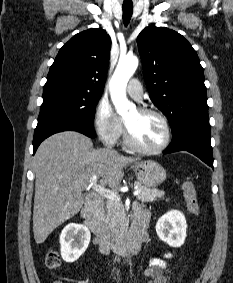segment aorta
Segmentation results:
<instances>
[{
    "label": "aorta",
    "mask_w": 233,
    "mask_h": 283,
    "mask_svg": "<svg viewBox=\"0 0 233 283\" xmlns=\"http://www.w3.org/2000/svg\"><path fill=\"white\" fill-rule=\"evenodd\" d=\"M138 62V58L133 55L120 57L109 84L111 100L121 116L135 109V105L127 99L126 86L135 73Z\"/></svg>",
    "instance_id": "1"
}]
</instances>
